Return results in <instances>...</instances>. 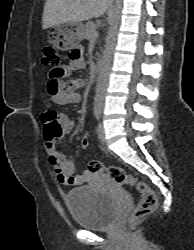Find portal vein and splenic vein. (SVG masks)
Wrapping results in <instances>:
<instances>
[{"mask_svg":"<svg viewBox=\"0 0 194 250\" xmlns=\"http://www.w3.org/2000/svg\"><path fill=\"white\" fill-rule=\"evenodd\" d=\"M94 36H95V37H97V36H98V33H97L96 31L94 32Z\"/></svg>","mask_w":194,"mask_h":250,"instance_id":"1","label":"portal vein and splenic vein"}]
</instances>
